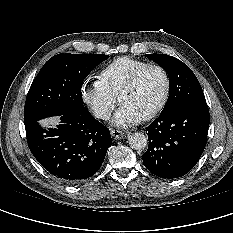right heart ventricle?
I'll list each match as a JSON object with an SVG mask.
<instances>
[{"mask_svg": "<svg viewBox=\"0 0 233 233\" xmlns=\"http://www.w3.org/2000/svg\"><path fill=\"white\" fill-rule=\"evenodd\" d=\"M148 64L144 60L119 57L101 70L99 79L114 96H117L131 75Z\"/></svg>", "mask_w": 233, "mask_h": 233, "instance_id": "right-heart-ventricle-1", "label": "right heart ventricle"}]
</instances>
